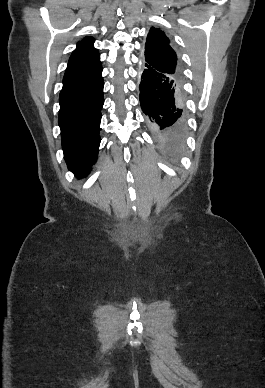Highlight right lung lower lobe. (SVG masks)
I'll list each match as a JSON object with an SVG mask.
<instances>
[{
    "label": "right lung lower lobe",
    "instance_id": "1",
    "mask_svg": "<svg viewBox=\"0 0 265 388\" xmlns=\"http://www.w3.org/2000/svg\"><path fill=\"white\" fill-rule=\"evenodd\" d=\"M103 86L100 73L85 81L63 85L60 92L58 123L64 158L78 178L86 176L97 159Z\"/></svg>",
    "mask_w": 265,
    "mask_h": 388
}]
</instances>
